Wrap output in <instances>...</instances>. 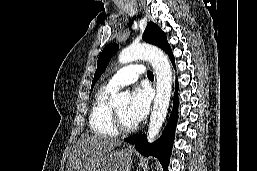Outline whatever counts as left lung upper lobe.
Wrapping results in <instances>:
<instances>
[{
	"instance_id": "5c2ea615",
	"label": "left lung upper lobe",
	"mask_w": 257,
	"mask_h": 171,
	"mask_svg": "<svg viewBox=\"0 0 257 171\" xmlns=\"http://www.w3.org/2000/svg\"><path fill=\"white\" fill-rule=\"evenodd\" d=\"M143 40L160 47L167 54L172 52L170 45L167 42L166 34L161 30L159 26H157L153 22L148 23L145 29V32L143 34ZM117 49H118V45L115 43L109 44L103 49L97 61V70L94 74L91 88H93L96 81L105 71L111 57L115 54Z\"/></svg>"
}]
</instances>
